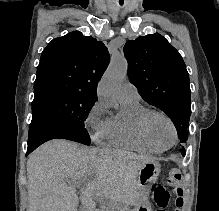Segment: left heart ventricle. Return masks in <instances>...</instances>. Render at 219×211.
Listing matches in <instances>:
<instances>
[{
    "mask_svg": "<svg viewBox=\"0 0 219 211\" xmlns=\"http://www.w3.org/2000/svg\"><path fill=\"white\" fill-rule=\"evenodd\" d=\"M150 131L157 142L162 147H168L174 142V134L170 124L162 117H154L150 122Z\"/></svg>",
    "mask_w": 219,
    "mask_h": 211,
    "instance_id": "obj_1",
    "label": "left heart ventricle"
}]
</instances>
